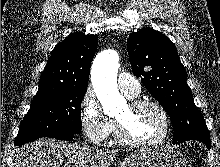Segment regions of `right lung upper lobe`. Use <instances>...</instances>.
<instances>
[{
	"label": "right lung upper lobe",
	"mask_w": 220,
	"mask_h": 167,
	"mask_svg": "<svg viewBox=\"0 0 220 167\" xmlns=\"http://www.w3.org/2000/svg\"><path fill=\"white\" fill-rule=\"evenodd\" d=\"M98 37L81 32L71 33L53 49L39 80L33 100L66 88H87L91 61Z\"/></svg>",
	"instance_id": "cb5924a9"
}]
</instances>
